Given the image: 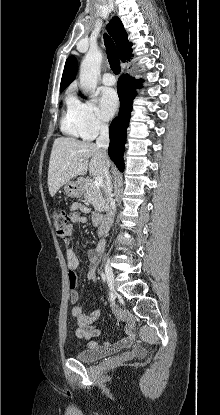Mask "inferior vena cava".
<instances>
[{
    "mask_svg": "<svg viewBox=\"0 0 220 415\" xmlns=\"http://www.w3.org/2000/svg\"><path fill=\"white\" fill-rule=\"evenodd\" d=\"M96 145L98 148L103 149L105 152L108 149L109 146V128L107 124L102 123L100 125V135L99 137L96 139ZM104 176L106 178L107 181V186L109 191L111 192L112 190V183H111V177L109 174V168L105 167V171H104ZM108 216L105 219V223L107 224V226H110L113 224V214L115 211V202L112 198V196L108 197Z\"/></svg>",
    "mask_w": 220,
    "mask_h": 415,
    "instance_id": "inferior-vena-cava-1",
    "label": "inferior vena cava"
}]
</instances>
